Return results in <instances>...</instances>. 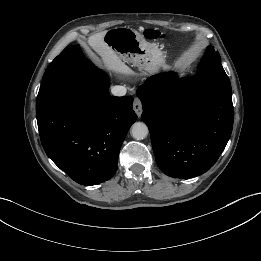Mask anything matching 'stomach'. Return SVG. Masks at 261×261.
<instances>
[{
	"instance_id": "1",
	"label": "stomach",
	"mask_w": 261,
	"mask_h": 261,
	"mask_svg": "<svg viewBox=\"0 0 261 261\" xmlns=\"http://www.w3.org/2000/svg\"><path fill=\"white\" fill-rule=\"evenodd\" d=\"M105 43L124 61L149 73L165 67V56L158 46L147 42L135 29L116 27L106 31Z\"/></svg>"
}]
</instances>
